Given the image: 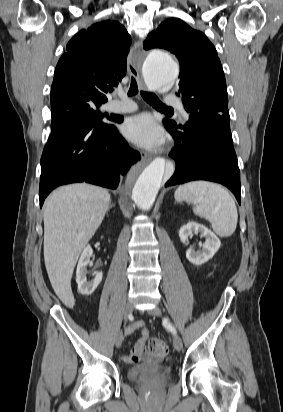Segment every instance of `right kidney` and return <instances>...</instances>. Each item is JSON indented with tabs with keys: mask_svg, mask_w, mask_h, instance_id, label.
Instances as JSON below:
<instances>
[{
	"mask_svg": "<svg viewBox=\"0 0 283 412\" xmlns=\"http://www.w3.org/2000/svg\"><path fill=\"white\" fill-rule=\"evenodd\" d=\"M93 254L91 246H86L80 256L77 270H76V282L78 284V292L82 295H91L97 286L100 284L103 278V273L98 272L91 281H87V266L90 262V258Z\"/></svg>",
	"mask_w": 283,
	"mask_h": 412,
	"instance_id": "ca27d5eb",
	"label": "right kidney"
}]
</instances>
